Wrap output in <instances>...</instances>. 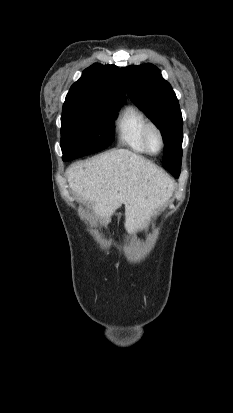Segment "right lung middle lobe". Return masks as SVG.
<instances>
[{
    "mask_svg": "<svg viewBox=\"0 0 233 413\" xmlns=\"http://www.w3.org/2000/svg\"><path fill=\"white\" fill-rule=\"evenodd\" d=\"M124 101L67 97L61 117L63 159L101 151L114 140V120Z\"/></svg>",
    "mask_w": 233,
    "mask_h": 413,
    "instance_id": "1",
    "label": "right lung middle lobe"
}]
</instances>
